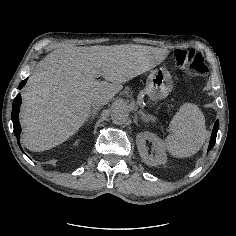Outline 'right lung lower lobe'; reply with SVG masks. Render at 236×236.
Listing matches in <instances>:
<instances>
[{"label":"right lung lower lobe","mask_w":236,"mask_h":236,"mask_svg":"<svg viewBox=\"0 0 236 236\" xmlns=\"http://www.w3.org/2000/svg\"><path fill=\"white\" fill-rule=\"evenodd\" d=\"M26 81H27V79L23 80L19 84V89H21L25 85ZM20 105H21V95L18 94L15 97L14 102H13V106H12V122H13V127H14V134L17 137V143L21 148L20 139H19V135L21 133V126L18 121V114H19V110H20Z\"/></svg>","instance_id":"98d812e1"}]
</instances>
